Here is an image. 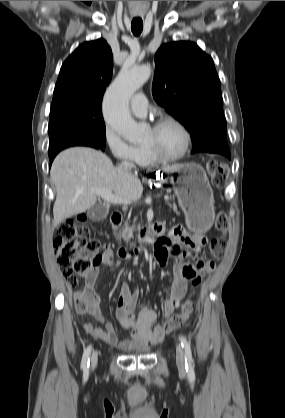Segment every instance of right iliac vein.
<instances>
[{
    "mask_svg": "<svg viewBox=\"0 0 285 418\" xmlns=\"http://www.w3.org/2000/svg\"><path fill=\"white\" fill-rule=\"evenodd\" d=\"M97 361H98V352L95 351L91 355V368L92 369H94L96 367Z\"/></svg>",
    "mask_w": 285,
    "mask_h": 418,
    "instance_id": "obj_1",
    "label": "right iliac vein"
}]
</instances>
